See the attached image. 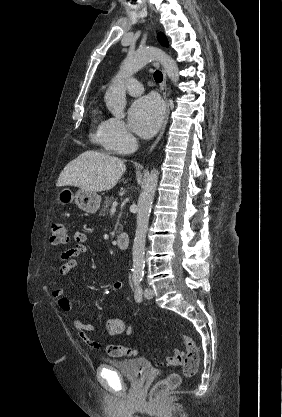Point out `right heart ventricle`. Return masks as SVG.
I'll list each match as a JSON object with an SVG mask.
<instances>
[{"label":"right heart ventricle","instance_id":"1","mask_svg":"<svg viewBox=\"0 0 282 417\" xmlns=\"http://www.w3.org/2000/svg\"><path fill=\"white\" fill-rule=\"evenodd\" d=\"M112 118L96 115L94 118L95 132L93 134L94 140L109 148L108 136L110 131ZM110 149V148H109Z\"/></svg>","mask_w":282,"mask_h":417}]
</instances>
